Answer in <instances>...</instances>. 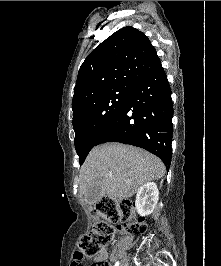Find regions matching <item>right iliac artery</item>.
<instances>
[{
    "label": "right iliac artery",
    "instance_id": "82829eb1",
    "mask_svg": "<svg viewBox=\"0 0 221 266\" xmlns=\"http://www.w3.org/2000/svg\"><path fill=\"white\" fill-rule=\"evenodd\" d=\"M114 266H119V262L117 261Z\"/></svg>",
    "mask_w": 221,
    "mask_h": 266
}]
</instances>
